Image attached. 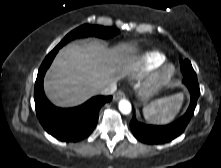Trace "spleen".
Instances as JSON below:
<instances>
[{"instance_id":"1","label":"spleen","mask_w":221,"mask_h":168,"mask_svg":"<svg viewBox=\"0 0 221 168\" xmlns=\"http://www.w3.org/2000/svg\"><path fill=\"white\" fill-rule=\"evenodd\" d=\"M183 94L179 93L167 98L152 102L143 109L145 119L154 123H169L174 119L181 107Z\"/></svg>"}]
</instances>
